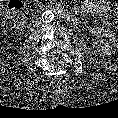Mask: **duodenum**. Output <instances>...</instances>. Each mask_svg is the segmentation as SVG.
I'll return each instance as SVG.
<instances>
[{
    "mask_svg": "<svg viewBox=\"0 0 118 118\" xmlns=\"http://www.w3.org/2000/svg\"><path fill=\"white\" fill-rule=\"evenodd\" d=\"M48 8L60 14L68 22H75L76 17L70 8L60 3H52L48 5Z\"/></svg>",
    "mask_w": 118,
    "mask_h": 118,
    "instance_id": "obj_1",
    "label": "duodenum"
}]
</instances>
